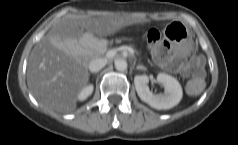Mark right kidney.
I'll list each match as a JSON object with an SVG mask.
<instances>
[{
    "label": "right kidney",
    "mask_w": 238,
    "mask_h": 145,
    "mask_svg": "<svg viewBox=\"0 0 238 145\" xmlns=\"http://www.w3.org/2000/svg\"><path fill=\"white\" fill-rule=\"evenodd\" d=\"M93 92V85H87L85 87H83L80 92L77 95L78 100L80 101H84L86 100Z\"/></svg>",
    "instance_id": "1"
}]
</instances>
